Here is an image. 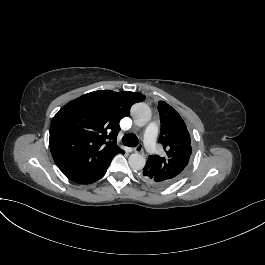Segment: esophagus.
<instances>
[{
	"instance_id": "34e87169",
	"label": "esophagus",
	"mask_w": 265,
	"mask_h": 265,
	"mask_svg": "<svg viewBox=\"0 0 265 265\" xmlns=\"http://www.w3.org/2000/svg\"><path fill=\"white\" fill-rule=\"evenodd\" d=\"M143 151V145L139 144L134 148V152L141 153Z\"/></svg>"
}]
</instances>
